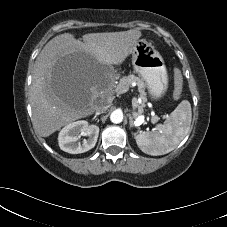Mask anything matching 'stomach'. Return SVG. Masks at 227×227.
<instances>
[{"label": "stomach", "instance_id": "obj_1", "mask_svg": "<svg viewBox=\"0 0 227 227\" xmlns=\"http://www.w3.org/2000/svg\"><path fill=\"white\" fill-rule=\"evenodd\" d=\"M131 54L134 71L145 81L151 98L160 99L168 88V74L162 56L145 39L136 42Z\"/></svg>", "mask_w": 227, "mask_h": 227}]
</instances>
